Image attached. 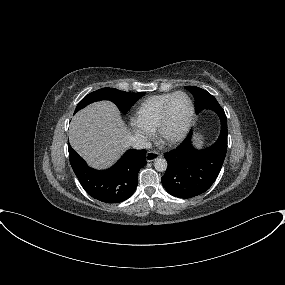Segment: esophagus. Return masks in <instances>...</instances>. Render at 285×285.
Segmentation results:
<instances>
[{"label": "esophagus", "instance_id": "obj_1", "mask_svg": "<svg viewBox=\"0 0 285 285\" xmlns=\"http://www.w3.org/2000/svg\"><path fill=\"white\" fill-rule=\"evenodd\" d=\"M159 157V153L157 151H148L146 153V161L152 162Z\"/></svg>", "mask_w": 285, "mask_h": 285}]
</instances>
